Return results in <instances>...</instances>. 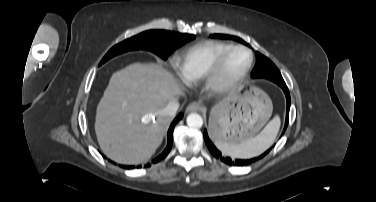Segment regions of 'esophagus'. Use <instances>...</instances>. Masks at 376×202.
I'll return each mask as SVG.
<instances>
[{
	"mask_svg": "<svg viewBox=\"0 0 376 202\" xmlns=\"http://www.w3.org/2000/svg\"><path fill=\"white\" fill-rule=\"evenodd\" d=\"M200 110H202V106L200 104H198V103H195V102L189 104L187 106V108H186V112H188V113L189 112L200 111Z\"/></svg>",
	"mask_w": 376,
	"mask_h": 202,
	"instance_id": "obj_1",
	"label": "esophagus"
}]
</instances>
